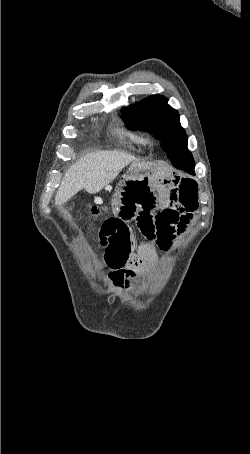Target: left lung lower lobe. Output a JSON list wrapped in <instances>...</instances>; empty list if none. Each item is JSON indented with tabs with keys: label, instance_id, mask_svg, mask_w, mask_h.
Segmentation results:
<instances>
[{
	"label": "left lung lower lobe",
	"instance_id": "1",
	"mask_svg": "<svg viewBox=\"0 0 250 454\" xmlns=\"http://www.w3.org/2000/svg\"><path fill=\"white\" fill-rule=\"evenodd\" d=\"M170 161L172 162V165L180 170H184L190 174H195L194 173V160L192 157V154L190 153H180L177 154L176 156H169L168 157Z\"/></svg>",
	"mask_w": 250,
	"mask_h": 454
}]
</instances>
